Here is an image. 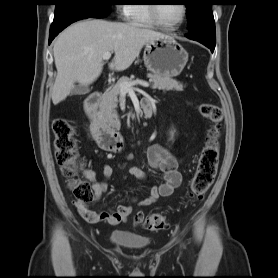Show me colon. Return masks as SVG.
Returning a JSON list of instances; mask_svg holds the SVG:
<instances>
[{"mask_svg": "<svg viewBox=\"0 0 278 278\" xmlns=\"http://www.w3.org/2000/svg\"><path fill=\"white\" fill-rule=\"evenodd\" d=\"M198 111L210 122L206 140L199 156L197 169L191 181L190 196L193 200H201L216 176L221 125L223 113L219 106L202 103ZM54 133L55 158L62 174L69 181V187L76 199L75 202L86 205L92 201L93 192L89 182L78 176L81 161L78 154V141L74 126L65 118H56L52 123ZM135 223L143 229L156 231L167 227L165 217L160 214H137Z\"/></svg>", "mask_w": 278, "mask_h": 278, "instance_id": "obj_1", "label": "colon"}]
</instances>
